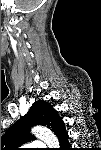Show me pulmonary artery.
Wrapping results in <instances>:
<instances>
[{"instance_id": "e3ab8cb5", "label": "pulmonary artery", "mask_w": 101, "mask_h": 150, "mask_svg": "<svg viewBox=\"0 0 101 150\" xmlns=\"http://www.w3.org/2000/svg\"><path fill=\"white\" fill-rule=\"evenodd\" d=\"M44 144L42 142H34L32 143V146H35V147H39V146H43Z\"/></svg>"}]
</instances>
